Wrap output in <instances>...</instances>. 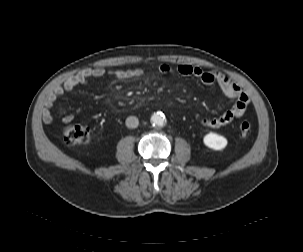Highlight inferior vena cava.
Segmentation results:
<instances>
[{
	"label": "inferior vena cava",
	"mask_w": 303,
	"mask_h": 252,
	"mask_svg": "<svg viewBox=\"0 0 303 252\" xmlns=\"http://www.w3.org/2000/svg\"><path fill=\"white\" fill-rule=\"evenodd\" d=\"M139 124V120L137 117L135 116H129L127 119H126V126L128 128H136Z\"/></svg>",
	"instance_id": "obj_1"
}]
</instances>
